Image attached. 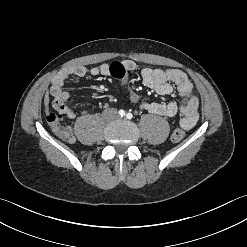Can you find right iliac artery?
<instances>
[{"label":"right iliac artery","mask_w":247,"mask_h":247,"mask_svg":"<svg viewBox=\"0 0 247 247\" xmlns=\"http://www.w3.org/2000/svg\"><path fill=\"white\" fill-rule=\"evenodd\" d=\"M119 115L121 116V117H123V116H125L126 115V113H125V111L124 110H119Z\"/></svg>","instance_id":"1"}]
</instances>
